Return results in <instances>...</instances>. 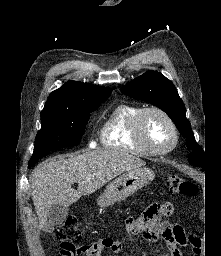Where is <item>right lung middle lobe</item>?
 Instances as JSON below:
<instances>
[{"label":"right lung middle lobe","mask_w":221,"mask_h":256,"mask_svg":"<svg viewBox=\"0 0 221 256\" xmlns=\"http://www.w3.org/2000/svg\"><path fill=\"white\" fill-rule=\"evenodd\" d=\"M108 97L109 95L97 96L82 101L74 110L41 112V129L36 135L34 152L28 167L34 166L39 158L51 150L78 145L90 113Z\"/></svg>","instance_id":"obj_1"}]
</instances>
